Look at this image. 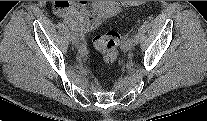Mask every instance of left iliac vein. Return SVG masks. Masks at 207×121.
I'll return each instance as SVG.
<instances>
[{
  "instance_id": "left-iliac-vein-1",
  "label": "left iliac vein",
  "mask_w": 207,
  "mask_h": 121,
  "mask_svg": "<svg viewBox=\"0 0 207 121\" xmlns=\"http://www.w3.org/2000/svg\"><path fill=\"white\" fill-rule=\"evenodd\" d=\"M135 42L133 39H130V40H127L125 43H124V49L126 50H131L134 46H135Z\"/></svg>"
}]
</instances>
